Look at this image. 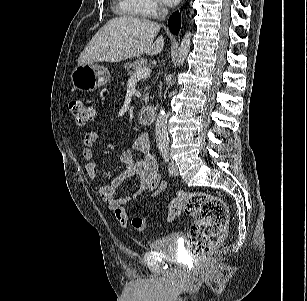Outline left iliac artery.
<instances>
[{
    "instance_id": "obj_1",
    "label": "left iliac artery",
    "mask_w": 307,
    "mask_h": 301,
    "mask_svg": "<svg viewBox=\"0 0 307 301\" xmlns=\"http://www.w3.org/2000/svg\"><path fill=\"white\" fill-rule=\"evenodd\" d=\"M160 151H161V154H162L164 161L168 162V160H169L168 147H161Z\"/></svg>"
}]
</instances>
